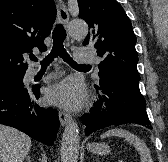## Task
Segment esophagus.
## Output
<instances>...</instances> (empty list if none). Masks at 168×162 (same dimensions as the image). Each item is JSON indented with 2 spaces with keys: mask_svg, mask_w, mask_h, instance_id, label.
Here are the masks:
<instances>
[{
  "mask_svg": "<svg viewBox=\"0 0 168 162\" xmlns=\"http://www.w3.org/2000/svg\"><path fill=\"white\" fill-rule=\"evenodd\" d=\"M57 10H58V17L60 22L63 25H67L69 21V14L66 7L62 3H59L57 6ZM58 115L62 126H65L71 120V116L64 111H59Z\"/></svg>",
  "mask_w": 168,
  "mask_h": 162,
  "instance_id": "34e87169",
  "label": "esophagus"
}]
</instances>
